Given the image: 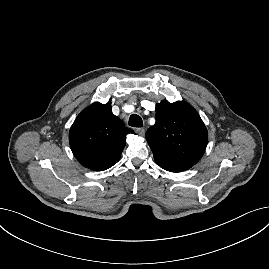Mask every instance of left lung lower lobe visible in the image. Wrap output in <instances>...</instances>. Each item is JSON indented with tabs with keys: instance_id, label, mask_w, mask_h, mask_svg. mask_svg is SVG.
I'll use <instances>...</instances> for the list:
<instances>
[{
	"instance_id": "left-lung-lower-lobe-1",
	"label": "left lung lower lobe",
	"mask_w": 269,
	"mask_h": 269,
	"mask_svg": "<svg viewBox=\"0 0 269 269\" xmlns=\"http://www.w3.org/2000/svg\"><path fill=\"white\" fill-rule=\"evenodd\" d=\"M161 168L170 172H182L191 168V166H170V167H161Z\"/></svg>"
}]
</instances>
